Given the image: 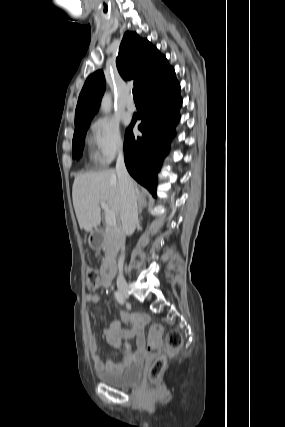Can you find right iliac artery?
I'll list each match as a JSON object with an SVG mask.
<instances>
[{
  "label": "right iliac artery",
  "mask_w": 285,
  "mask_h": 427,
  "mask_svg": "<svg viewBox=\"0 0 285 427\" xmlns=\"http://www.w3.org/2000/svg\"><path fill=\"white\" fill-rule=\"evenodd\" d=\"M116 300L120 303V304H124V299L123 296L121 295V293L119 291H116L114 293Z\"/></svg>",
  "instance_id": "obj_1"
}]
</instances>
